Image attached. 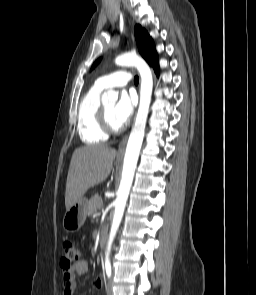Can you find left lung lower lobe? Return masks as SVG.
I'll use <instances>...</instances> for the list:
<instances>
[{"label": "left lung lower lobe", "instance_id": "0a47b994", "mask_svg": "<svg viewBox=\"0 0 256 295\" xmlns=\"http://www.w3.org/2000/svg\"><path fill=\"white\" fill-rule=\"evenodd\" d=\"M153 68H154V71H155L156 73L159 72V67H158V65H157V66H153Z\"/></svg>", "mask_w": 256, "mask_h": 295}]
</instances>
